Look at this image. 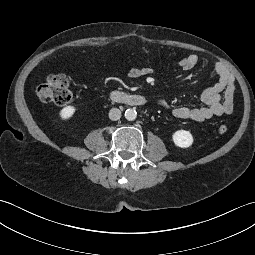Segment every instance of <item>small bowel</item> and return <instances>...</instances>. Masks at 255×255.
Masks as SVG:
<instances>
[{
	"instance_id": "obj_1",
	"label": "small bowel",
	"mask_w": 255,
	"mask_h": 255,
	"mask_svg": "<svg viewBox=\"0 0 255 255\" xmlns=\"http://www.w3.org/2000/svg\"><path fill=\"white\" fill-rule=\"evenodd\" d=\"M199 63V58L195 54L183 57L177 66L181 70H191ZM218 75V82L212 87L203 91L201 100L204 103L200 107L179 106L171 108L164 99L158 100V105L166 110H171L174 117L182 120H192L203 122L213 117L229 115L234 110L235 78L230 70L220 61L213 64ZM153 70L149 67L136 68L129 72L130 78L150 75Z\"/></svg>"
}]
</instances>
